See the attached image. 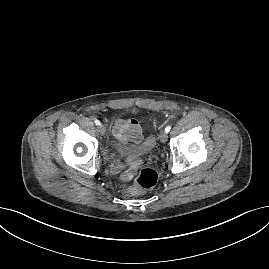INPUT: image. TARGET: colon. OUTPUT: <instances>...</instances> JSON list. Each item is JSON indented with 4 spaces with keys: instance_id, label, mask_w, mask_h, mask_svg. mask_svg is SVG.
Here are the masks:
<instances>
[{
    "instance_id": "5ec220e1",
    "label": "colon",
    "mask_w": 269,
    "mask_h": 269,
    "mask_svg": "<svg viewBox=\"0 0 269 269\" xmlns=\"http://www.w3.org/2000/svg\"><path fill=\"white\" fill-rule=\"evenodd\" d=\"M158 180V174L154 169H142L134 182V185L128 189L130 193H138L143 190L151 189L155 186Z\"/></svg>"
}]
</instances>
